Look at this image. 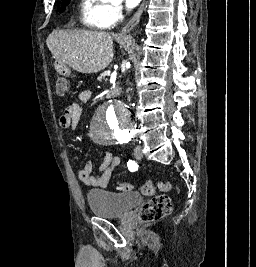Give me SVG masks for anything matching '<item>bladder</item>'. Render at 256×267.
<instances>
[{
    "mask_svg": "<svg viewBox=\"0 0 256 267\" xmlns=\"http://www.w3.org/2000/svg\"><path fill=\"white\" fill-rule=\"evenodd\" d=\"M91 212L99 217L121 218L129 214L137 204L143 202L142 195H122L106 190L87 192Z\"/></svg>",
    "mask_w": 256,
    "mask_h": 267,
    "instance_id": "bladder-1",
    "label": "bladder"
}]
</instances>
